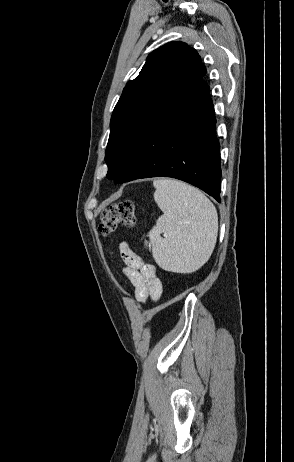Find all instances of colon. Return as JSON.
I'll return each mask as SVG.
<instances>
[{"instance_id":"colon-1","label":"colon","mask_w":294,"mask_h":462,"mask_svg":"<svg viewBox=\"0 0 294 462\" xmlns=\"http://www.w3.org/2000/svg\"><path fill=\"white\" fill-rule=\"evenodd\" d=\"M136 221L134 204L130 200H123L101 212L99 231L102 235H108L119 226L133 227Z\"/></svg>"}]
</instances>
